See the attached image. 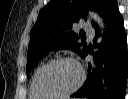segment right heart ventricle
Here are the masks:
<instances>
[{
	"label": "right heart ventricle",
	"mask_w": 128,
	"mask_h": 99,
	"mask_svg": "<svg viewBox=\"0 0 128 99\" xmlns=\"http://www.w3.org/2000/svg\"><path fill=\"white\" fill-rule=\"evenodd\" d=\"M29 97L31 99H40V97H43V96H39L35 91H34V88H33V79L30 83V90H29Z\"/></svg>",
	"instance_id": "right-heart-ventricle-1"
}]
</instances>
